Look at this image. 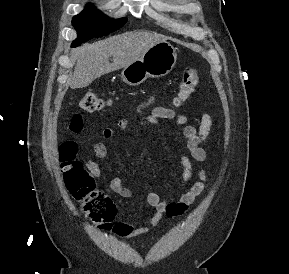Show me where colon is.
Instances as JSON below:
<instances>
[{
    "mask_svg": "<svg viewBox=\"0 0 289 274\" xmlns=\"http://www.w3.org/2000/svg\"><path fill=\"white\" fill-rule=\"evenodd\" d=\"M198 81L199 76L195 68L187 67L183 70L174 99L175 105L179 106L190 98ZM106 104V101L94 92L85 94L80 101V107L90 113L100 111ZM82 127L81 118L74 117L70 129L79 133ZM76 153L75 142L68 140L60 145L59 156L65 184L73 198L81 204L84 213L100 227L108 229L115 214L113 202L97 187L93 175L76 160Z\"/></svg>",
    "mask_w": 289,
    "mask_h": 274,
    "instance_id": "obj_1",
    "label": "colon"
}]
</instances>
